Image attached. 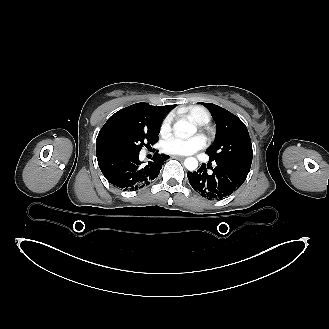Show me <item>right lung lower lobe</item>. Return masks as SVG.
<instances>
[{
  "instance_id": "obj_1",
  "label": "right lung lower lobe",
  "mask_w": 329,
  "mask_h": 329,
  "mask_svg": "<svg viewBox=\"0 0 329 329\" xmlns=\"http://www.w3.org/2000/svg\"><path fill=\"white\" fill-rule=\"evenodd\" d=\"M139 152L107 150L97 154L98 165L108 182L124 191L141 189L152 183L170 158L156 152L152 161L143 166Z\"/></svg>"
}]
</instances>
